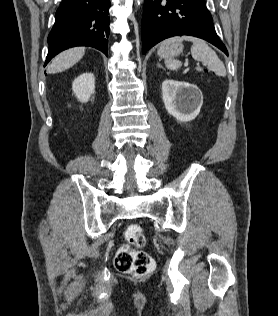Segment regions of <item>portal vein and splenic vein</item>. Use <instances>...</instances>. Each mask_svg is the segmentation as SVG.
Wrapping results in <instances>:
<instances>
[{"label": "portal vein and splenic vein", "instance_id": "portal-vein-and-splenic-vein-1", "mask_svg": "<svg viewBox=\"0 0 278 316\" xmlns=\"http://www.w3.org/2000/svg\"><path fill=\"white\" fill-rule=\"evenodd\" d=\"M187 65H188V62L185 63V66H187Z\"/></svg>", "mask_w": 278, "mask_h": 316}]
</instances>
